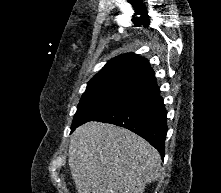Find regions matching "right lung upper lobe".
Returning a JSON list of instances; mask_svg holds the SVG:
<instances>
[{"instance_id": "obj_1", "label": "right lung upper lobe", "mask_w": 221, "mask_h": 193, "mask_svg": "<svg viewBox=\"0 0 221 193\" xmlns=\"http://www.w3.org/2000/svg\"><path fill=\"white\" fill-rule=\"evenodd\" d=\"M156 82L147 59L134 53L119 55L103 67L88 83L87 89L124 83L147 87Z\"/></svg>"}]
</instances>
